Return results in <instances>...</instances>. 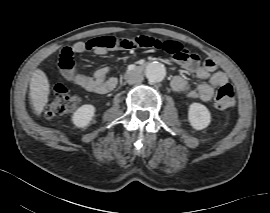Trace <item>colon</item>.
<instances>
[{
	"label": "colon",
	"mask_w": 270,
	"mask_h": 213,
	"mask_svg": "<svg viewBox=\"0 0 270 213\" xmlns=\"http://www.w3.org/2000/svg\"><path fill=\"white\" fill-rule=\"evenodd\" d=\"M134 47H142L148 49H159L164 43L159 39L141 35L130 40ZM169 53L175 61H181L185 57L186 47L180 43H173L169 45ZM195 61H200L198 54H192ZM60 68L64 70H71L73 62L69 59L60 60ZM235 93L230 84H225L219 88L214 98V106L218 109H227L234 103ZM77 97L65 86L59 85L52 91L51 101L44 109V116L52 118L54 116L71 113L76 109Z\"/></svg>",
	"instance_id": "5ec220e1"
}]
</instances>
